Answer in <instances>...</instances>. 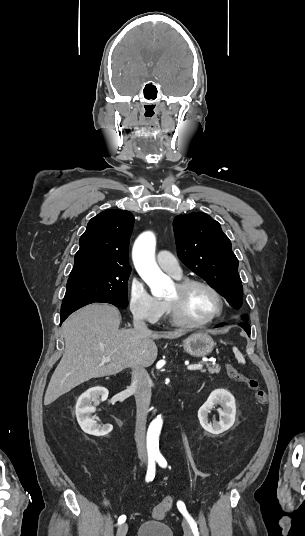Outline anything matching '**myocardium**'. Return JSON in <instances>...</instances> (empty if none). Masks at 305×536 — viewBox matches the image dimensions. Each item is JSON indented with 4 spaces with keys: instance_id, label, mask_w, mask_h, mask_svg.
<instances>
[{
    "instance_id": "f54148a6",
    "label": "myocardium",
    "mask_w": 305,
    "mask_h": 536,
    "mask_svg": "<svg viewBox=\"0 0 305 536\" xmlns=\"http://www.w3.org/2000/svg\"><path fill=\"white\" fill-rule=\"evenodd\" d=\"M176 286L180 292H187L190 289L194 288L195 286H203L211 290L219 299L220 301V309L216 315L211 317L208 320L200 321V322H193L186 318L181 306L177 303H174L172 301L166 300V305L168 307V310L173 317V319L180 324L181 326L187 327V328H204L212 325L219 319H221L227 310V301L225 296L222 294V292L215 287L213 284L197 278H186L183 280H179L176 283Z\"/></svg>"
}]
</instances>
